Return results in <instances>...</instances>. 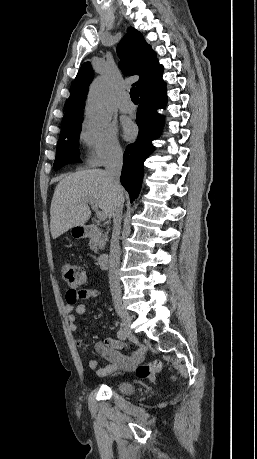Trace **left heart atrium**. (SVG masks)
<instances>
[{"label":"left heart atrium","mask_w":257,"mask_h":459,"mask_svg":"<svg viewBox=\"0 0 257 459\" xmlns=\"http://www.w3.org/2000/svg\"><path fill=\"white\" fill-rule=\"evenodd\" d=\"M136 132V128L133 123L131 122H126L124 124V135L127 139H130L134 136Z\"/></svg>","instance_id":"obj_1"}]
</instances>
